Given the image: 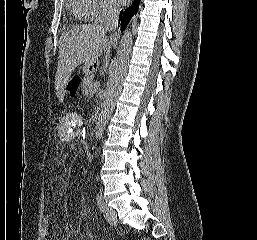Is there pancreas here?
<instances>
[{"mask_svg": "<svg viewBox=\"0 0 257 240\" xmlns=\"http://www.w3.org/2000/svg\"><path fill=\"white\" fill-rule=\"evenodd\" d=\"M93 86L92 83V74L91 72H86V77L84 78L82 84V91L84 95H88L90 93V88Z\"/></svg>", "mask_w": 257, "mask_h": 240, "instance_id": "obj_1", "label": "pancreas"}]
</instances>
